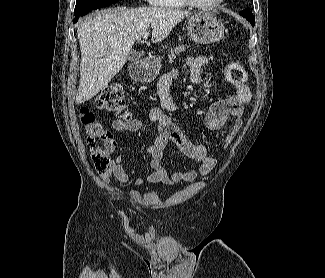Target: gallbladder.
<instances>
[{
    "mask_svg": "<svg viewBox=\"0 0 325 278\" xmlns=\"http://www.w3.org/2000/svg\"><path fill=\"white\" fill-rule=\"evenodd\" d=\"M140 57H141V54L138 51H133V52L130 53V59L132 61L139 60Z\"/></svg>",
    "mask_w": 325,
    "mask_h": 278,
    "instance_id": "1",
    "label": "gallbladder"
}]
</instances>
